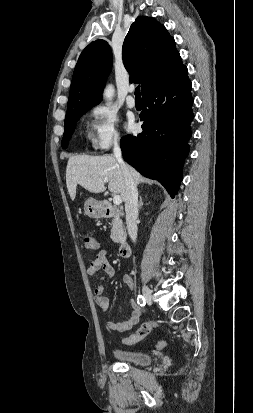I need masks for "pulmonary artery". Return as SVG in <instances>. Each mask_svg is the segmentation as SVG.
Masks as SVG:
<instances>
[{
	"label": "pulmonary artery",
	"instance_id": "e3ab8cb5",
	"mask_svg": "<svg viewBox=\"0 0 253 413\" xmlns=\"http://www.w3.org/2000/svg\"><path fill=\"white\" fill-rule=\"evenodd\" d=\"M133 92H134V88L130 87L129 88V95L126 98V104L129 108H135V106H136V101H135V99L132 95Z\"/></svg>",
	"mask_w": 253,
	"mask_h": 413
}]
</instances>
